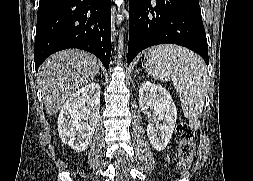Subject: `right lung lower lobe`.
Returning <instances> with one entry per match:
<instances>
[{"mask_svg": "<svg viewBox=\"0 0 253 181\" xmlns=\"http://www.w3.org/2000/svg\"><path fill=\"white\" fill-rule=\"evenodd\" d=\"M68 48L95 54L108 70L111 0H40L34 54L36 71L48 56Z\"/></svg>", "mask_w": 253, "mask_h": 181, "instance_id": "right-lung-lower-lobe-1", "label": "right lung lower lobe"}]
</instances>
